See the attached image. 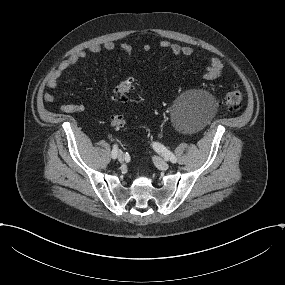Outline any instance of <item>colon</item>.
<instances>
[{"label":"colon","instance_id":"1","mask_svg":"<svg viewBox=\"0 0 285 285\" xmlns=\"http://www.w3.org/2000/svg\"><path fill=\"white\" fill-rule=\"evenodd\" d=\"M134 89V81L126 79L118 84L112 93L113 99L117 101H126L128 94ZM243 101V93L239 89L228 91L220 101L221 108L226 111H237L240 109ZM111 124L119 129L125 125V119L120 114H115L111 118Z\"/></svg>","mask_w":285,"mask_h":285}]
</instances>
